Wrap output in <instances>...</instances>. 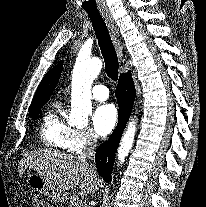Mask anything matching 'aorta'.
Wrapping results in <instances>:
<instances>
[{
  "instance_id": "obj_1",
  "label": "aorta",
  "mask_w": 206,
  "mask_h": 207,
  "mask_svg": "<svg viewBox=\"0 0 206 207\" xmlns=\"http://www.w3.org/2000/svg\"><path fill=\"white\" fill-rule=\"evenodd\" d=\"M102 69L101 59L78 57L72 74L71 111L68 122L83 127L88 123L92 111L91 85ZM136 133V121L133 119L127 126L121 139L117 158L122 164L128 156Z\"/></svg>"
}]
</instances>
